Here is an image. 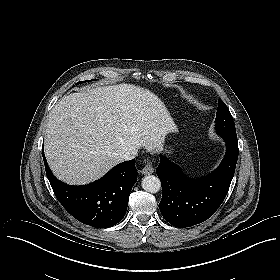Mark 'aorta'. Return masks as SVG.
<instances>
[{"mask_svg":"<svg viewBox=\"0 0 280 280\" xmlns=\"http://www.w3.org/2000/svg\"><path fill=\"white\" fill-rule=\"evenodd\" d=\"M142 188L150 193H156L161 188V182L158 177L154 175H147L142 179Z\"/></svg>","mask_w":280,"mask_h":280,"instance_id":"obj_1","label":"aorta"}]
</instances>
